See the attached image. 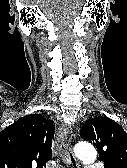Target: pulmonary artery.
Segmentation results:
<instances>
[{
  "label": "pulmonary artery",
  "mask_w": 127,
  "mask_h": 168,
  "mask_svg": "<svg viewBox=\"0 0 127 168\" xmlns=\"http://www.w3.org/2000/svg\"><path fill=\"white\" fill-rule=\"evenodd\" d=\"M86 168H100L98 164H88Z\"/></svg>",
  "instance_id": "obj_1"
}]
</instances>
